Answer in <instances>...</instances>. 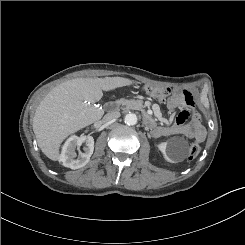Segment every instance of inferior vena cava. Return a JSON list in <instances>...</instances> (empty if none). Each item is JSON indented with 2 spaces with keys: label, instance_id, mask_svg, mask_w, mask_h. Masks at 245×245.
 <instances>
[{
  "label": "inferior vena cava",
  "instance_id": "602c4592",
  "mask_svg": "<svg viewBox=\"0 0 245 245\" xmlns=\"http://www.w3.org/2000/svg\"><path fill=\"white\" fill-rule=\"evenodd\" d=\"M120 117V113L117 112V111H112V112H109L107 113L104 117H103V122H109V121H112V120H115L117 118Z\"/></svg>",
  "mask_w": 245,
  "mask_h": 245
}]
</instances>
